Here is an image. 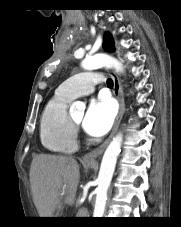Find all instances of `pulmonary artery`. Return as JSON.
<instances>
[{
    "mask_svg": "<svg viewBox=\"0 0 181 227\" xmlns=\"http://www.w3.org/2000/svg\"><path fill=\"white\" fill-rule=\"evenodd\" d=\"M101 81L102 78L99 73H80L64 81L56 91L70 99H75L91 94L95 89V85Z\"/></svg>",
    "mask_w": 181,
    "mask_h": 227,
    "instance_id": "e3ab8cb5",
    "label": "pulmonary artery"
}]
</instances>
